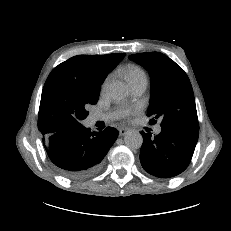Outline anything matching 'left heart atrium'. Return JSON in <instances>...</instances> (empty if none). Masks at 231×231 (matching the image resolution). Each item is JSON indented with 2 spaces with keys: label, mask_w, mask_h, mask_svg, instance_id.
Here are the masks:
<instances>
[{
  "label": "left heart atrium",
  "mask_w": 231,
  "mask_h": 231,
  "mask_svg": "<svg viewBox=\"0 0 231 231\" xmlns=\"http://www.w3.org/2000/svg\"><path fill=\"white\" fill-rule=\"evenodd\" d=\"M130 113H131L130 111H125V112H124V115L127 116V115H129Z\"/></svg>",
  "instance_id": "obj_1"
}]
</instances>
